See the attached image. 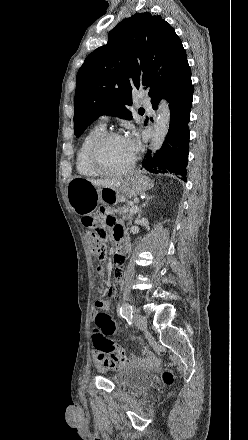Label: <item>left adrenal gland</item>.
Listing matches in <instances>:
<instances>
[{
	"label": "left adrenal gland",
	"instance_id": "a2214340",
	"mask_svg": "<svg viewBox=\"0 0 248 440\" xmlns=\"http://www.w3.org/2000/svg\"><path fill=\"white\" fill-rule=\"evenodd\" d=\"M152 197H153V196H150V197H147V198H146L145 203L141 206V208H140V210H139V212H138V219L141 217V214H142V208L145 207V205L148 203V201H149L150 199H152Z\"/></svg>",
	"mask_w": 248,
	"mask_h": 440
}]
</instances>
